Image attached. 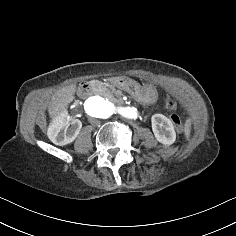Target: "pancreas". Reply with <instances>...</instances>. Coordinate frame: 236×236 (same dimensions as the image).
Instances as JSON below:
<instances>
[{"instance_id": "pancreas-1", "label": "pancreas", "mask_w": 236, "mask_h": 236, "mask_svg": "<svg viewBox=\"0 0 236 236\" xmlns=\"http://www.w3.org/2000/svg\"><path fill=\"white\" fill-rule=\"evenodd\" d=\"M94 85L97 88V94L98 95H100L102 97H105V98H108V99H113L114 98V96L112 94L113 87H109L107 84H105L101 81H98V80L94 81Z\"/></svg>"}]
</instances>
